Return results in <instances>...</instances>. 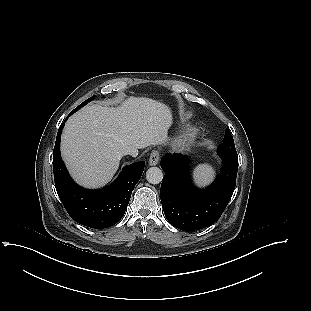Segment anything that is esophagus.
<instances>
[{"instance_id": "1", "label": "esophagus", "mask_w": 311, "mask_h": 311, "mask_svg": "<svg viewBox=\"0 0 311 311\" xmlns=\"http://www.w3.org/2000/svg\"><path fill=\"white\" fill-rule=\"evenodd\" d=\"M159 158H160V154L157 150H154L151 155H150V158H149V165L150 166H155L158 164L159 162Z\"/></svg>"}]
</instances>
